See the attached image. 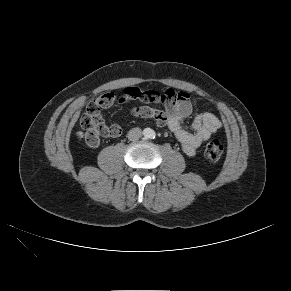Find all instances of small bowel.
I'll use <instances>...</instances> for the list:
<instances>
[{"mask_svg":"<svg viewBox=\"0 0 291 291\" xmlns=\"http://www.w3.org/2000/svg\"><path fill=\"white\" fill-rule=\"evenodd\" d=\"M123 95L127 97V101L137 100L145 103H149L151 98L154 100L153 104H156V98L167 96L168 105L164 107V110L155 109L150 106H138L132 108L131 113L139 118L153 119L160 127H168L180 142L184 153L188 156L195 155L196 150L201 144L222 127L221 120L209 112L195 115L191 126L187 127L184 122L193 113L196 101L185 91L175 92L172 89H168L164 93H159L157 91L140 90L136 87H126ZM114 99L115 95L112 93H105L95 99L99 118L102 119L100 110L111 107ZM110 127L119 130L118 134L111 137H117L121 134L120 126L114 124ZM97 145L91 147H96Z\"/></svg>","mask_w":291,"mask_h":291,"instance_id":"obj_1","label":"small bowel"}]
</instances>
